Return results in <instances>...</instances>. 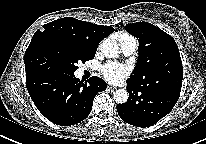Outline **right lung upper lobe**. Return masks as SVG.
Here are the masks:
<instances>
[{
    "label": "right lung upper lobe",
    "instance_id": "obj_1",
    "mask_svg": "<svg viewBox=\"0 0 206 144\" xmlns=\"http://www.w3.org/2000/svg\"><path fill=\"white\" fill-rule=\"evenodd\" d=\"M114 32L111 26L65 17L43 25L32 37L30 45L42 39H52L62 43L96 52L99 43Z\"/></svg>",
    "mask_w": 206,
    "mask_h": 144
}]
</instances>
